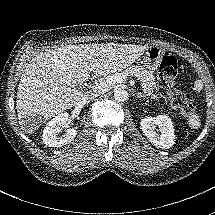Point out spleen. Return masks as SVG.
I'll list each match as a JSON object with an SVG mask.
<instances>
[{
    "mask_svg": "<svg viewBox=\"0 0 215 215\" xmlns=\"http://www.w3.org/2000/svg\"><path fill=\"white\" fill-rule=\"evenodd\" d=\"M196 85H198V84L196 83ZM195 92H196L195 97H198V94L201 92L200 86L195 87ZM187 126L190 130H193V131H198L199 129H201L202 119L197 110H193L190 113L189 117L187 118Z\"/></svg>",
    "mask_w": 215,
    "mask_h": 215,
    "instance_id": "obj_1",
    "label": "spleen"
}]
</instances>
